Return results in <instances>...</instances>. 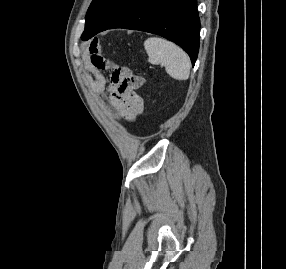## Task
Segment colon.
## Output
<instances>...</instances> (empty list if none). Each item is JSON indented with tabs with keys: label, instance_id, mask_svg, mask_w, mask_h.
<instances>
[{
	"label": "colon",
	"instance_id": "colon-1",
	"mask_svg": "<svg viewBox=\"0 0 286 269\" xmlns=\"http://www.w3.org/2000/svg\"><path fill=\"white\" fill-rule=\"evenodd\" d=\"M114 88L123 100L124 110H143L144 100L140 91L144 88L146 78L133 74L128 65H115L111 68ZM141 77V78H137Z\"/></svg>",
	"mask_w": 286,
	"mask_h": 269
}]
</instances>
